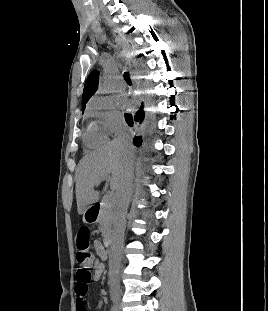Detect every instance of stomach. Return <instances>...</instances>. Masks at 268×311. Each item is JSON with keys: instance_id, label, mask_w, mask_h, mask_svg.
I'll return each instance as SVG.
<instances>
[{"instance_id": "0dacf381", "label": "stomach", "mask_w": 268, "mask_h": 311, "mask_svg": "<svg viewBox=\"0 0 268 311\" xmlns=\"http://www.w3.org/2000/svg\"><path fill=\"white\" fill-rule=\"evenodd\" d=\"M84 213H85V212H84ZM83 222L87 223V220H86V218H85V214H84V216H83Z\"/></svg>"}]
</instances>
